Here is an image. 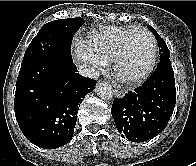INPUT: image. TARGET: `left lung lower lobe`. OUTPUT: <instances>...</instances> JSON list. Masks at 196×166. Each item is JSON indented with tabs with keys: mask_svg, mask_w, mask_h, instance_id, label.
<instances>
[{
	"mask_svg": "<svg viewBox=\"0 0 196 166\" xmlns=\"http://www.w3.org/2000/svg\"><path fill=\"white\" fill-rule=\"evenodd\" d=\"M175 103L174 71L170 59L165 58L142 86L114 100L111 113L123 137L143 142L165 129Z\"/></svg>",
	"mask_w": 196,
	"mask_h": 166,
	"instance_id": "1",
	"label": "left lung lower lobe"
}]
</instances>
